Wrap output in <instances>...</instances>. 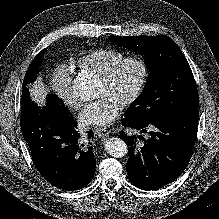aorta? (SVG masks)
Returning <instances> with one entry per match:
<instances>
[{"label": "aorta", "mask_w": 219, "mask_h": 219, "mask_svg": "<svg viewBox=\"0 0 219 219\" xmlns=\"http://www.w3.org/2000/svg\"><path fill=\"white\" fill-rule=\"evenodd\" d=\"M74 88L76 90V95L80 98L90 97L94 92L93 84L83 81L82 79L76 80ZM104 147L109 155L116 158L124 157L128 152L126 143L117 137L106 140Z\"/></svg>", "instance_id": "762f6f07"}]
</instances>
